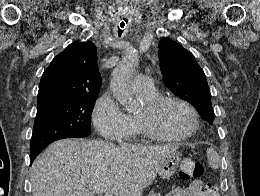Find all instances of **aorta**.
<instances>
[{
	"label": "aorta",
	"mask_w": 260,
	"mask_h": 196,
	"mask_svg": "<svg viewBox=\"0 0 260 196\" xmlns=\"http://www.w3.org/2000/svg\"><path fill=\"white\" fill-rule=\"evenodd\" d=\"M138 64V54L135 50L128 51L112 72L110 88L115 99L127 108L133 106V96L130 88L131 78Z\"/></svg>",
	"instance_id": "762f6f07"
}]
</instances>
